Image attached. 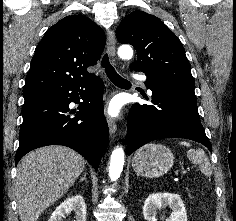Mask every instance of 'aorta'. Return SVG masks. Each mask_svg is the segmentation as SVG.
<instances>
[{"label": "aorta", "instance_id": "obj_1", "mask_svg": "<svg viewBox=\"0 0 236 221\" xmlns=\"http://www.w3.org/2000/svg\"><path fill=\"white\" fill-rule=\"evenodd\" d=\"M118 55L122 59H131L133 50L129 45H122L118 49ZM124 150L122 147H116L110 157L109 178L111 181H116L123 170L124 166Z\"/></svg>", "mask_w": 236, "mask_h": 221}]
</instances>
